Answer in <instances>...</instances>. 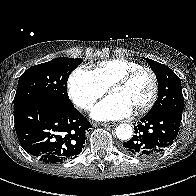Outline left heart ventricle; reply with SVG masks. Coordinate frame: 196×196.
Returning a JSON list of instances; mask_svg holds the SVG:
<instances>
[{
  "label": "left heart ventricle",
  "mask_w": 196,
  "mask_h": 196,
  "mask_svg": "<svg viewBox=\"0 0 196 196\" xmlns=\"http://www.w3.org/2000/svg\"><path fill=\"white\" fill-rule=\"evenodd\" d=\"M152 86L151 76L147 72H142L126 86L111 90L110 94L118 96L135 110L147 102Z\"/></svg>",
  "instance_id": "left-heart-ventricle-1"
}]
</instances>
